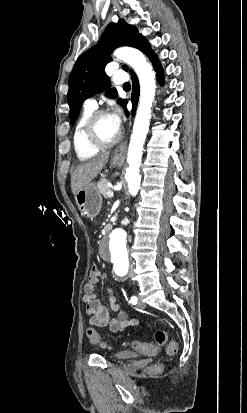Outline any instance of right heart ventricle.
I'll return each mask as SVG.
<instances>
[{"label": "right heart ventricle", "mask_w": 247, "mask_h": 413, "mask_svg": "<svg viewBox=\"0 0 247 413\" xmlns=\"http://www.w3.org/2000/svg\"><path fill=\"white\" fill-rule=\"evenodd\" d=\"M89 117V113H84L78 121L74 132V146L77 157L81 161L92 159L100 153V150L88 146L84 139V130L88 123Z\"/></svg>", "instance_id": "right-heart-ventricle-1"}]
</instances>
